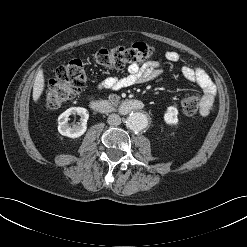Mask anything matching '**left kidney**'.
Here are the masks:
<instances>
[{
  "label": "left kidney",
  "mask_w": 247,
  "mask_h": 247,
  "mask_svg": "<svg viewBox=\"0 0 247 247\" xmlns=\"http://www.w3.org/2000/svg\"><path fill=\"white\" fill-rule=\"evenodd\" d=\"M164 121L169 125L176 126L178 124V109L175 106H170L164 114Z\"/></svg>",
  "instance_id": "5707ae66"
}]
</instances>
